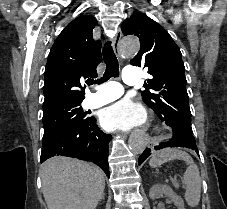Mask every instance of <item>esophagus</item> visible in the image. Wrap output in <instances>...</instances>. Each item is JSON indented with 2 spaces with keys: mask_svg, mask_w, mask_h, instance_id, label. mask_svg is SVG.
Instances as JSON below:
<instances>
[{
  "mask_svg": "<svg viewBox=\"0 0 227 209\" xmlns=\"http://www.w3.org/2000/svg\"><path fill=\"white\" fill-rule=\"evenodd\" d=\"M121 36H122V32L119 28L113 39V50L119 59L122 58L121 53L119 51V43H120ZM146 144H147L148 149H155V147H156L154 140L152 138L149 141H147Z\"/></svg>",
  "mask_w": 227,
  "mask_h": 209,
  "instance_id": "1",
  "label": "esophagus"
}]
</instances>
